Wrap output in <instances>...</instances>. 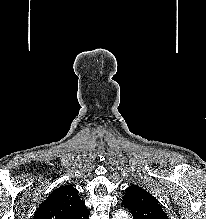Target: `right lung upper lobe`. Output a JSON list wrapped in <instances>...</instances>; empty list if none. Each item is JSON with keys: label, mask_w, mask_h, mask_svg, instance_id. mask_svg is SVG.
I'll return each instance as SVG.
<instances>
[{"label": "right lung upper lobe", "mask_w": 206, "mask_h": 219, "mask_svg": "<svg viewBox=\"0 0 206 219\" xmlns=\"http://www.w3.org/2000/svg\"><path fill=\"white\" fill-rule=\"evenodd\" d=\"M33 219H89V211L72 185L61 186L41 203Z\"/></svg>", "instance_id": "right-lung-upper-lobe-1"}]
</instances>
